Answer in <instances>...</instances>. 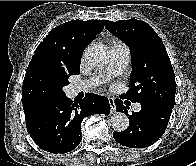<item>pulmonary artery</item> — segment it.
<instances>
[{"instance_id":"pulmonary-artery-1","label":"pulmonary artery","mask_w":196,"mask_h":166,"mask_svg":"<svg viewBox=\"0 0 196 166\" xmlns=\"http://www.w3.org/2000/svg\"><path fill=\"white\" fill-rule=\"evenodd\" d=\"M111 54L110 64L105 73L92 78L90 81L74 84L71 87L73 93H78L93 85L103 83L109 80L111 77L121 74L125 70L130 57L128 47L122 43H116L111 48ZM140 109V104L137 103L134 105V110L136 112L140 111Z\"/></svg>"}]
</instances>
